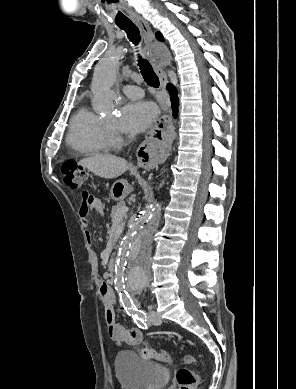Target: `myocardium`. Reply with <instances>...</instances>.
I'll return each instance as SVG.
<instances>
[{
	"instance_id": "myocardium-1",
	"label": "myocardium",
	"mask_w": 296,
	"mask_h": 389,
	"mask_svg": "<svg viewBox=\"0 0 296 389\" xmlns=\"http://www.w3.org/2000/svg\"><path fill=\"white\" fill-rule=\"evenodd\" d=\"M104 134L108 145H114L118 143L119 136L116 132L114 125L106 120H103Z\"/></svg>"
}]
</instances>
